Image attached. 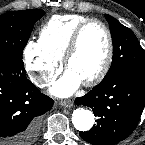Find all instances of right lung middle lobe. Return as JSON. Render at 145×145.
Instances as JSON below:
<instances>
[{"label":"right lung middle lobe","instance_id":"1","mask_svg":"<svg viewBox=\"0 0 145 145\" xmlns=\"http://www.w3.org/2000/svg\"><path fill=\"white\" fill-rule=\"evenodd\" d=\"M44 14L43 10L31 9L0 16V59L22 58L33 26Z\"/></svg>","mask_w":145,"mask_h":145}]
</instances>
